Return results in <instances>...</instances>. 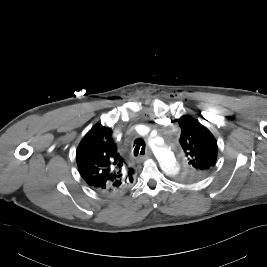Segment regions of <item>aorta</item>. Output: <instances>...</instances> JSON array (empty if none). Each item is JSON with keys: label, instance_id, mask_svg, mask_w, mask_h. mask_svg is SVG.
<instances>
[{"label": "aorta", "instance_id": "762f6f07", "mask_svg": "<svg viewBox=\"0 0 267 267\" xmlns=\"http://www.w3.org/2000/svg\"><path fill=\"white\" fill-rule=\"evenodd\" d=\"M155 150L157 158L160 161L164 171L170 176H176L179 173L180 167L173 151L167 147H155Z\"/></svg>", "mask_w": 267, "mask_h": 267}]
</instances>
